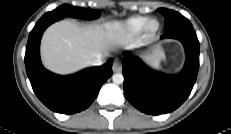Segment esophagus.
Here are the masks:
<instances>
[{
  "label": "esophagus",
  "mask_w": 231,
  "mask_h": 134,
  "mask_svg": "<svg viewBox=\"0 0 231 134\" xmlns=\"http://www.w3.org/2000/svg\"><path fill=\"white\" fill-rule=\"evenodd\" d=\"M112 69L114 72H120L122 70V63L120 61L116 60L113 64Z\"/></svg>",
  "instance_id": "34e87169"
}]
</instances>
